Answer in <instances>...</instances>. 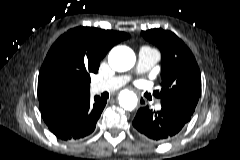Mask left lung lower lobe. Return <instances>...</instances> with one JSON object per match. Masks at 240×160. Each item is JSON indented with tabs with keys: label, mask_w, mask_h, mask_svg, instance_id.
Listing matches in <instances>:
<instances>
[{
	"label": "left lung lower lobe",
	"mask_w": 240,
	"mask_h": 160,
	"mask_svg": "<svg viewBox=\"0 0 240 160\" xmlns=\"http://www.w3.org/2000/svg\"><path fill=\"white\" fill-rule=\"evenodd\" d=\"M161 105V110L157 112H153L148 106L140 108L133 120V126L139 135L152 143L170 140L191 119V115L172 106Z\"/></svg>",
	"instance_id": "left-lung-lower-lobe-1"
}]
</instances>
